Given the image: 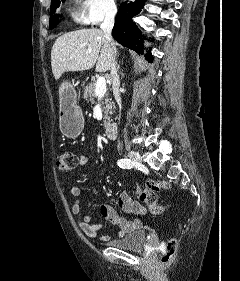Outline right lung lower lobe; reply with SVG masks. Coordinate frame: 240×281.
I'll list each match as a JSON object with an SVG mask.
<instances>
[{
  "label": "right lung lower lobe",
  "mask_w": 240,
  "mask_h": 281,
  "mask_svg": "<svg viewBox=\"0 0 240 281\" xmlns=\"http://www.w3.org/2000/svg\"><path fill=\"white\" fill-rule=\"evenodd\" d=\"M146 0L122 3L116 16V23L112 30L113 37L122 45L141 53L143 49L142 33L133 23L132 18L141 12ZM151 57L150 50L147 52ZM152 59V58H151Z\"/></svg>",
  "instance_id": "98d812e1"
}]
</instances>
